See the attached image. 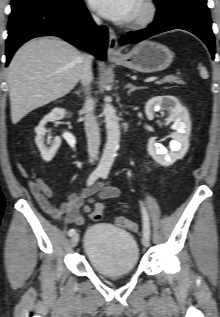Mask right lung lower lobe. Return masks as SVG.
<instances>
[{
    "label": "right lung lower lobe",
    "mask_w": 220,
    "mask_h": 317,
    "mask_svg": "<svg viewBox=\"0 0 220 317\" xmlns=\"http://www.w3.org/2000/svg\"><path fill=\"white\" fill-rule=\"evenodd\" d=\"M6 43V65L14 52L26 41L53 35L106 59L108 31L96 27L83 1L71 7L58 5H32L11 12Z\"/></svg>",
    "instance_id": "1"
}]
</instances>
